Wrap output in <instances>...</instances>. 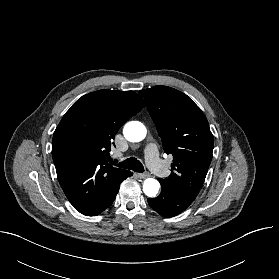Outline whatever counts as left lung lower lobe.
I'll use <instances>...</instances> for the list:
<instances>
[{
  "mask_svg": "<svg viewBox=\"0 0 279 279\" xmlns=\"http://www.w3.org/2000/svg\"><path fill=\"white\" fill-rule=\"evenodd\" d=\"M160 195L156 198H148V204L163 217H173L188 208L197 195L181 192L171 188L162 179Z\"/></svg>",
  "mask_w": 279,
  "mask_h": 279,
  "instance_id": "1",
  "label": "left lung lower lobe"
}]
</instances>
